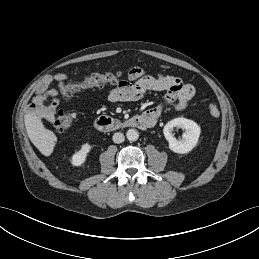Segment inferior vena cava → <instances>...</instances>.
<instances>
[{"instance_id":"1","label":"inferior vena cava","mask_w":259,"mask_h":259,"mask_svg":"<svg viewBox=\"0 0 259 259\" xmlns=\"http://www.w3.org/2000/svg\"><path fill=\"white\" fill-rule=\"evenodd\" d=\"M124 139H125L124 135L120 132H117L113 135L114 143H117V144L122 143L124 141Z\"/></svg>"}]
</instances>
